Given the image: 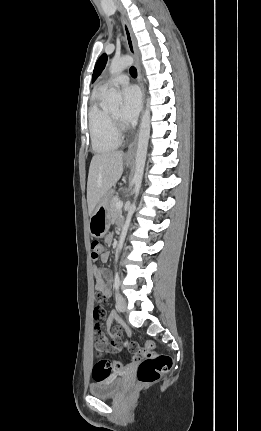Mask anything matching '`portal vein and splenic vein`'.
I'll use <instances>...</instances> for the list:
<instances>
[{
    "instance_id": "obj_1",
    "label": "portal vein and splenic vein",
    "mask_w": 261,
    "mask_h": 431,
    "mask_svg": "<svg viewBox=\"0 0 261 431\" xmlns=\"http://www.w3.org/2000/svg\"><path fill=\"white\" fill-rule=\"evenodd\" d=\"M123 207V202L119 201L116 203V208L121 209Z\"/></svg>"
}]
</instances>
